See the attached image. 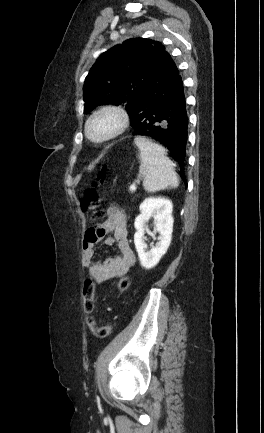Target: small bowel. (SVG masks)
I'll use <instances>...</instances> for the list:
<instances>
[{"mask_svg":"<svg viewBox=\"0 0 264 433\" xmlns=\"http://www.w3.org/2000/svg\"><path fill=\"white\" fill-rule=\"evenodd\" d=\"M102 240L107 245H115L118 254L104 261H96L95 245ZM134 264L135 255L127 238L125 214L111 205L107 209V219L102 224L89 228L84 236L82 265L96 284H101L124 276Z\"/></svg>","mask_w":264,"mask_h":433,"instance_id":"obj_1","label":"small bowel"}]
</instances>
